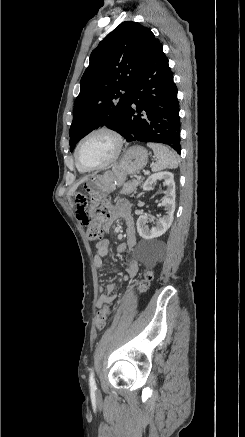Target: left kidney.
I'll return each instance as SVG.
<instances>
[{"instance_id":"obj_1","label":"left kidney","mask_w":245,"mask_h":437,"mask_svg":"<svg viewBox=\"0 0 245 437\" xmlns=\"http://www.w3.org/2000/svg\"><path fill=\"white\" fill-rule=\"evenodd\" d=\"M157 180H163V184L167 187L166 198L161 202L165 207L166 215L156 221V225L151 229L147 225L150 218L147 214L139 216L137 220V231L139 235L145 239L150 240L162 236L171 226L173 222V215L175 211V182L174 175L171 172H159L151 175L143 185V190L151 191L153 184Z\"/></svg>"}]
</instances>
